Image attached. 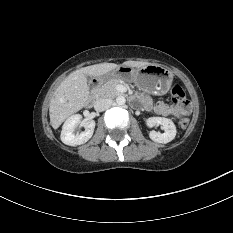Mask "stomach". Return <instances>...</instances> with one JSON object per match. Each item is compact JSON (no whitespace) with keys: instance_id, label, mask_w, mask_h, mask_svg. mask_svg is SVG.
<instances>
[{"instance_id":"obj_1","label":"stomach","mask_w":233,"mask_h":233,"mask_svg":"<svg viewBox=\"0 0 233 233\" xmlns=\"http://www.w3.org/2000/svg\"><path fill=\"white\" fill-rule=\"evenodd\" d=\"M97 79L99 83L108 82L112 79L134 81L140 89L160 96L169 91L173 81V74L157 64H148L137 69L127 65H120L116 69L98 76Z\"/></svg>"}]
</instances>
